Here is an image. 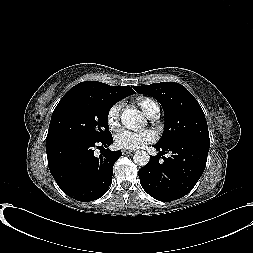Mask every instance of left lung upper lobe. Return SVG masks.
Returning <instances> with one entry per match:
<instances>
[{
    "label": "left lung upper lobe",
    "mask_w": 253,
    "mask_h": 253,
    "mask_svg": "<svg viewBox=\"0 0 253 253\" xmlns=\"http://www.w3.org/2000/svg\"><path fill=\"white\" fill-rule=\"evenodd\" d=\"M133 88L140 94L154 97L163 107L164 134L156 145L167 146L186 139L210 143L204 112L194 96L183 85L161 82Z\"/></svg>",
    "instance_id": "left-lung-upper-lobe-1"
}]
</instances>
